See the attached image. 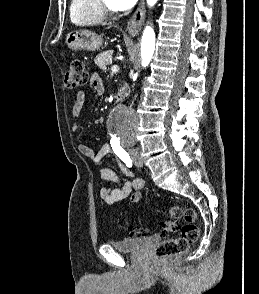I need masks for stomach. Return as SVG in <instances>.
I'll return each instance as SVG.
<instances>
[{
	"instance_id": "stomach-1",
	"label": "stomach",
	"mask_w": 259,
	"mask_h": 294,
	"mask_svg": "<svg viewBox=\"0 0 259 294\" xmlns=\"http://www.w3.org/2000/svg\"><path fill=\"white\" fill-rule=\"evenodd\" d=\"M66 44L72 50L97 51L102 47L103 39L88 30L73 31L66 36Z\"/></svg>"
}]
</instances>
